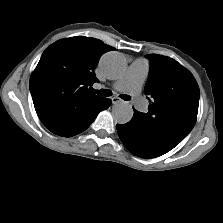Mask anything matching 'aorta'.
Wrapping results in <instances>:
<instances>
[{"label":"aorta","instance_id":"aorta-1","mask_svg":"<svg viewBox=\"0 0 223 223\" xmlns=\"http://www.w3.org/2000/svg\"><path fill=\"white\" fill-rule=\"evenodd\" d=\"M102 71L109 78L118 77L125 69L124 59L116 53H107L99 63ZM112 117L118 124H126L133 117L132 106L127 102H118L112 107Z\"/></svg>","mask_w":223,"mask_h":223}]
</instances>
